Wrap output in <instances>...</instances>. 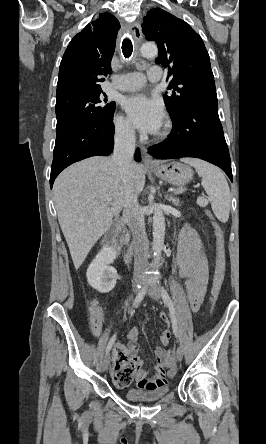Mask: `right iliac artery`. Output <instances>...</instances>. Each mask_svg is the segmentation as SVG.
<instances>
[{
	"label": "right iliac artery",
	"instance_id": "obj_1",
	"mask_svg": "<svg viewBox=\"0 0 266 444\" xmlns=\"http://www.w3.org/2000/svg\"><path fill=\"white\" fill-rule=\"evenodd\" d=\"M145 294H146V288L144 287L140 290V292L136 296V298L133 302L134 307H137L139 305V303L143 300ZM115 339H116V334H114L112 336V338L110 339V341L108 342V345L106 347V353H108L111 350V348L113 347Z\"/></svg>",
	"mask_w": 266,
	"mask_h": 444
}]
</instances>
